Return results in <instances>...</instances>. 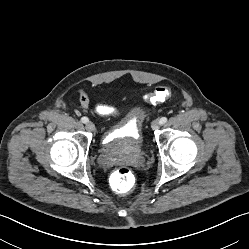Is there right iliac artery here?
<instances>
[{
    "instance_id": "obj_1",
    "label": "right iliac artery",
    "mask_w": 249,
    "mask_h": 249,
    "mask_svg": "<svg viewBox=\"0 0 249 249\" xmlns=\"http://www.w3.org/2000/svg\"><path fill=\"white\" fill-rule=\"evenodd\" d=\"M81 121H82L83 123H87V122L89 121V119H88L87 117H82V118H81Z\"/></svg>"
}]
</instances>
